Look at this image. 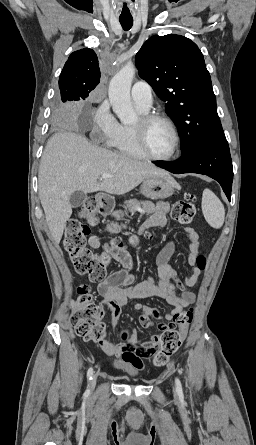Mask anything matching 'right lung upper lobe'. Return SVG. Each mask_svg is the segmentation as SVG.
Returning <instances> with one entry per match:
<instances>
[{
  "label": "right lung upper lobe",
  "instance_id": "obj_1",
  "mask_svg": "<svg viewBox=\"0 0 256 445\" xmlns=\"http://www.w3.org/2000/svg\"><path fill=\"white\" fill-rule=\"evenodd\" d=\"M100 82V69L95 52L84 48L73 52L59 77L61 93L85 99Z\"/></svg>",
  "mask_w": 256,
  "mask_h": 445
}]
</instances>
